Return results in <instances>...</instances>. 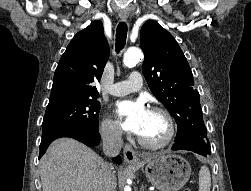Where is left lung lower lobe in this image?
<instances>
[{
    "label": "left lung lower lobe",
    "mask_w": 251,
    "mask_h": 191,
    "mask_svg": "<svg viewBox=\"0 0 251 191\" xmlns=\"http://www.w3.org/2000/svg\"><path fill=\"white\" fill-rule=\"evenodd\" d=\"M172 150H188L196 152L203 156H207L211 152V147L210 143L206 140L200 137H192L179 142H175Z\"/></svg>",
    "instance_id": "left-lung-lower-lobe-1"
}]
</instances>
